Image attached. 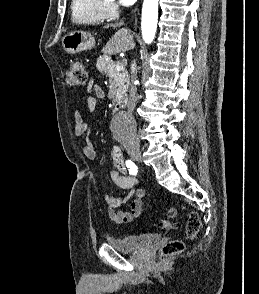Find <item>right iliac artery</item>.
<instances>
[{
  "instance_id": "1",
  "label": "right iliac artery",
  "mask_w": 259,
  "mask_h": 294,
  "mask_svg": "<svg viewBox=\"0 0 259 294\" xmlns=\"http://www.w3.org/2000/svg\"><path fill=\"white\" fill-rule=\"evenodd\" d=\"M126 166H127L128 170H129V173L131 175H137L138 168H137V166L135 165L134 162H132L131 160H127L126 161Z\"/></svg>"
}]
</instances>
